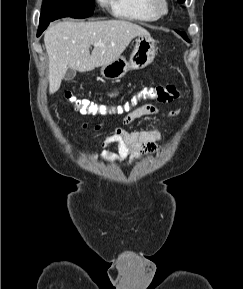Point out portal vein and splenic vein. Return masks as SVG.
<instances>
[{
    "mask_svg": "<svg viewBox=\"0 0 243 289\" xmlns=\"http://www.w3.org/2000/svg\"><path fill=\"white\" fill-rule=\"evenodd\" d=\"M94 46H104L102 43H94Z\"/></svg>",
    "mask_w": 243,
    "mask_h": 289,
    "instance_id": "18ae733b",
    "label": "portal vein and splenic vein"
}]
</instances>
